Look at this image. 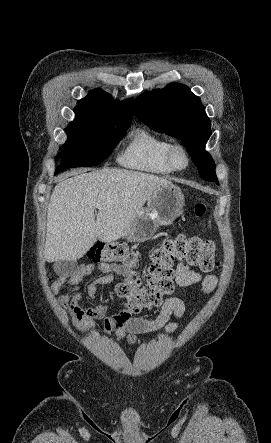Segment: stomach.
Returning a JSON list of instances; mask_svg holds the SVG:
<instances>
[{
	"label": "stomach",
	"mask_w": 271,
	"mask_h": 443,
	"mask_svg": "<svg viewBox=\"0 0 271 443\" xmlns=\"http://www.w3.org/2000/svg\"><path fill=\"white\" fill-rule=\"evenodd\" d=\"M148 208L129 225L128 241H147L160 225H170L184 208V196L178 186H161L148 198Z\"/></svg>",
	"instance_id": "stomach-1"
}]
</instances>
